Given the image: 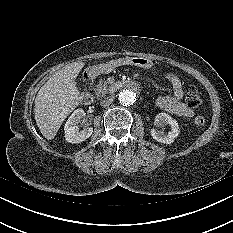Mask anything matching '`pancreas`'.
Returning <instances> with one entry per match:
<instances>
[{"label": "pancreas", "instance_id": "cf45deb5", "mask_svg": "<svg viewBox=\"0 0 233 233\" xmlns=\"http://www.w3.org/2000/svg\"><path fill=\"white\" fill-rule=\"evenodd\" d=\"M94 91L97 98H102L106 94L111 93V87L106 81L100 80L95 86Z\"/></svg>", "mask_w": 233, "mask_h": 233}]
</instances>
